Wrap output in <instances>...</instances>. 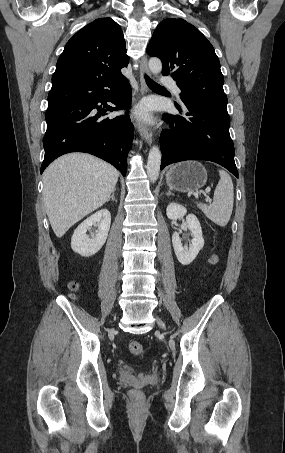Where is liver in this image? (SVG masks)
<instances>
[{
  "label": "liver",
  "instance_id": "1",
  "mask_svg": "<svg viewBox=\"0 0 285 453\" xmlns=\"http://www.w3.org/2000/svg\"><path fill=\"white\" fill-rule=\"evenodd\" d=\"M118 171L84 153L66 154L43 174V199L51 227L61 238L75 223L101 207L118 181Z\"/></svg>",
  "mask_w": 285,
  "mask_h": 453
}]
</instances>
